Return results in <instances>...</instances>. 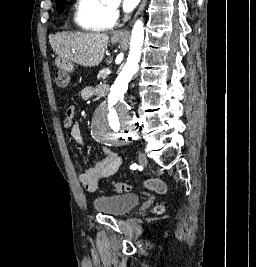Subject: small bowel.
<instances>
[{"instance_id":"c3829d8e","label":"small bowel","mask_w":256,"mask_h":267,"mask_svg":"<svg viewBox=\"0 0 256 267\" xmlns=\"http://www.w3.org/2000/svg\"><path fill=\"white\" fill-rule=\"evenodd\" d=\"M105 93L104 87L86 86L80 92L82 100H90L96 95H103ZM75 109L69 107L66 110L63 124L65 127L70 128L71 137L78 144H84V138L80 131L79 126L74 122ZM104 158L97 162L95 165L87 168L79 174L80 182L90 191H96L101 183L113 176L119 169L122 158L119 153L110 146L103 147Z\"/></svg>"}]
</instances>
